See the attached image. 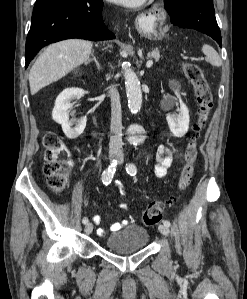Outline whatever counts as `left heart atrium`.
<instances>
[{
	"label": "left heart atrium",
	"mask_w": 247,
	"mask_h": 299,
	"mask_svg": "<svg viewBox=\"0 0 247 299\" xmlns=\"http://www.w3.org/2000/svg\"><path fill=\"white\" fill-rule=\"evenodd\" d=\"M113 3L125 5V6H138L145 0H109Z\"/></svg>",
	"instance_id": "39dd6f15"
}]
</instances>
